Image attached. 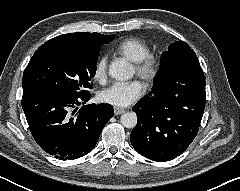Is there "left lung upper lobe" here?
Listing matches in <instances>:
<instances>
[{"instance_id": "obj_1", "label": "left lung upper lobe", "mask_w": 240, "mask_h": 191, "mask_svg": "<svg viewBox=\"0 0 240 191\" xmlns=\"http://www.w3.org/2000/svg\"><path fill=\"white\" fill-rule=\"evenodd\" d=\"M203 72L195 52L184 41L169 45L161 56V65L154 78V88L149 95L177 81L180 75Z\"/></svg>"}]
</instances>
